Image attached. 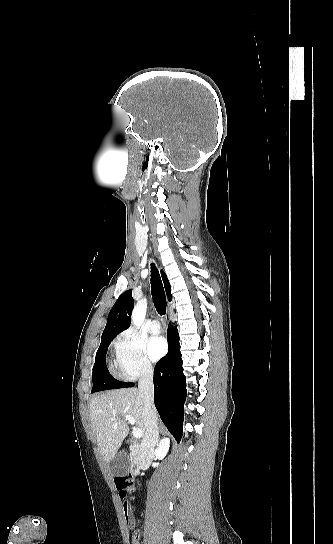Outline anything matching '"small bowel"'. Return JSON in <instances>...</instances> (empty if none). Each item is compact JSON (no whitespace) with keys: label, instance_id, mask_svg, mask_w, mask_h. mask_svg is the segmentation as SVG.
<instances>
[{"label":"small bowel","instance_id":"1","mask_svg":"<svg viewBox=\"0 0 333 544\" xmlns=\"http://www.w3.org/2000/svg\"><path fill=\"white\" fill-rule=\"evenodd\" d=\"M123 508H124L127 524L130 528H133L135 525L133 508L129 506L127 503L123 504Z\"/></svg>","mask_w":333,"mask_h":544}]
</instances>
